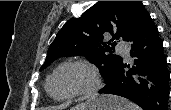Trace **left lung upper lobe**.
Instances as JSON below:
<instances>
[{"label":"left lung upper lobe","instance_id":"obj_1","mask_svg":"<svg viewBox=\"0 0 171 110\" xmlns=\"http://www.w3.org/2000/svg\"><path fill=\"white\" fill-rule=\"evenodd\" d=\"M148 16L141 1H98L80 18L69 20L61 28L40 71L58 57L85 55L107 81L122 61L111 53L115 39L132 40ZM106 33L112 34L108 42L104 40Z\"/></svg>","mask_w":171,"mask_h":110}]
</instances>
